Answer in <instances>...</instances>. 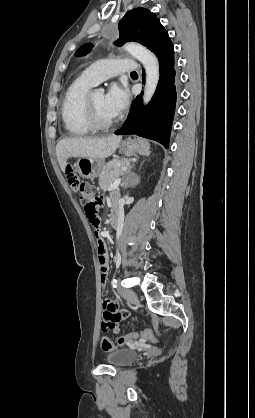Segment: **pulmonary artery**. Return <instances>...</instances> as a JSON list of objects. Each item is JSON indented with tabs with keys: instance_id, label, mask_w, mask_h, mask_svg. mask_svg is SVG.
<instances>
[{
	"instance_id": "1",
	"label": "pulmonary artery",
	"mask_w": 255,
	"mask_h": 418,
	"mask_svg": "<svg viewBox=\"0 0 255 418\" xmlns=\"http://www.w3.org/2000/svg\"><path fill=\"white\" fill-rule=\"evenodd\" d=\"M137 69V63L131 59L117 58L101 60L87 67L82 76L94 85L117 74L131 72Z\"/></svg>"
}]
</instances>
